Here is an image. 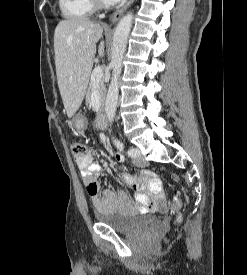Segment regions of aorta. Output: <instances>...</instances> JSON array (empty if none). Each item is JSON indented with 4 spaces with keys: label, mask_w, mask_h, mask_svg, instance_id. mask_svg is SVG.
<instances>
[{
    "label": "aorta",
    "mask_w": 247,
    "mask_h": 275,
    "mask_svg": "<svg viewBox=\"0 0 247 275\" xmlns=\"http://www.w3.org/2000/svg\"><path fill=\"white\" fill-rule=\"evenodd\" d=\"M132 22L133 14L130 12L123 16L122 19L119 21L113 35L110 62V65L112 67V77L108 87L105 102L106 118L110 125L112 124L115 118L119 93V80L122 72V61L124 53L126 51L128 36L131 31Z\"/></svg>",
    "instance_id": "aorta-1"
}]
</instances>
